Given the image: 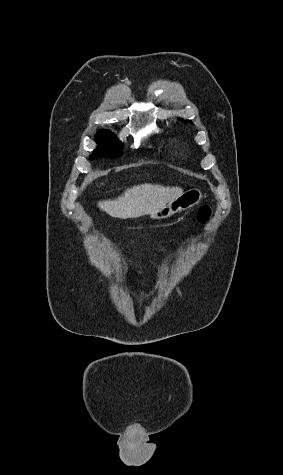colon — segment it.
Here are the masks:
<instances>
[{"label": "colon", "mask_w": 283, "mask_h": 475, "mask_svg": "<svg viewBox=\"0 0 283 475\" xmlns=\"http://www.w3.org/2000/svg\"><path fill=\"white\" fill-rule=\"evenodd\" d=\"M213 205L205 204L198 210L197 217L200 222H206L212 215Z\"/></svg>", "instance_id": "1"}]
</instances>
